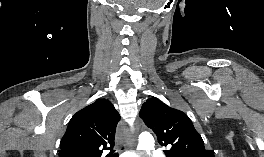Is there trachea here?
Returning a JSON list of instances; mask_svg holds the SVG:
<instances>
[{
	"instance_id": "1",
	"label": "trachea",
	"mask_w": 264,
	"mask_h": 157,
	"mask_svg": "<svg viewBox=\"0 0 264 157\" xmlns=\"http://www.w3.org/2000/svg\"><path fill=\"white\" fill-rule=\"evenodd\" d=\"M113 157H118V154H117V153H115V154L113 155Z\"/></svg>"
}]
</instances>
